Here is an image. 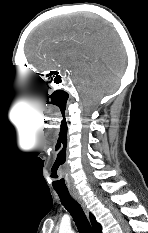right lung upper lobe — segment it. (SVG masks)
Masks as SVG:
<instances>
[{
  "mask_svg": "<svg viewBox=\"0 0 148 233\" xmlns=\"http://www.w3.org/2000/svg\"><path fill=\"white\" fill-rule=\"evenodd\" d=\"M90 221L95 233H102L101 225L96 221L95 217L92 214H90Z\"/></svg>",
  "mask_w": 148,
  "mask_h": 233,
  "instance_id": "right-lung-upper-lobe-1",
  "label": "right lung upper lobe"
}]
</instances>
